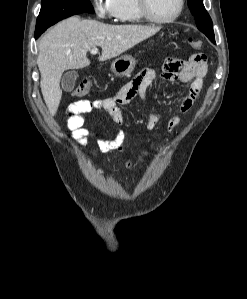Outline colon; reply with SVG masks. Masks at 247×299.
Listing matches in <instances>:
<instances>
[{"label":"colon","mask_w":247,"mask_h":299,"mask_svg":"<svg viewBox=\"0 0 247 299\" xmlns=\"http://www.w3.org/2000/svg\"><path fill=\"white\" fill-rule=\"evenodd\" d=\"M190 46L194 49H200L203 43L199 39H193L190 41ZM91 82L89 80H82L74 89L73 95L76 97H83L91 91Z\"/></svg>","instance_id":"5ec220e1"}]
</instances>
